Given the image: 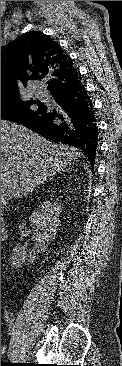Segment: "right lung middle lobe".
Instances as JSON below:
<instances>
[{
	"label": "right lung middle lobe",
	"mask_w": 122,
	"mask_h": 366,
	"mask_svg": "<svg viewBox=\"0 0 122 366\" xmlns=\"http://www.w3.org/2000/svg\"><path fill=\"white\" fill-rule=\"evenodd\" d=\"M19 96L15 93L12 92H3L1 94V102H15ZM27 106L26 109L23 108V106L21 107H16V111L19 114L20 117H29L31 115H33L35 112L32 111L29 107L33 104H36L37 106L41 103L40 100H31V101H26Z\"/></svg>",
	"instance_id": "right-lung-middle-lobe-1"
}]
</instances>
